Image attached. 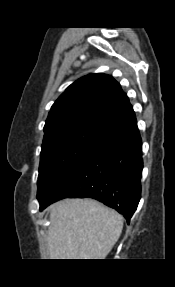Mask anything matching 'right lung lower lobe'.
<instances>
[{
  "label": "right lung lower lobe",
  "mask_w": 175,
  "mask_h": 287,
  "mask_svg": "<svg viewBox=\"0 0 175 287\" xmlns=\"http://www.w3.org/2000/svg\"><path fill=\"white\" fill-rule=\"evenodd\" d=\"M142 141L136 117L118 123L42 195V211L66 197H90L115 209L127 222L141 197Z\"/></svg>",
  "instance_id": "98d812e1"
}]
</instances>
